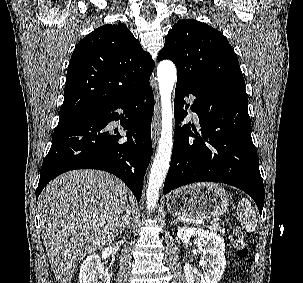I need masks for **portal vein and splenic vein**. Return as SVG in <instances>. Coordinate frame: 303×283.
Wrapping results in <instances>:
<instances>
[{
    "instance_id": "portal-vein-and-splenic-vein-1",
    "label": "portal vein and splenic vein",
    "mask_w": 303,
    "mask_h": 283,
    "mask_svg": "<svg viewBox=\"0 0 303 283\" xmlns=\"http://www.w3.org/2000/svg\"><path fill=\"white\" fill-rule=\"evenodd\" d=\"M217 221L214 219L211 221V224L216 223ZM200 223V222H199Z\"/></svg>"
}]
</instances>
